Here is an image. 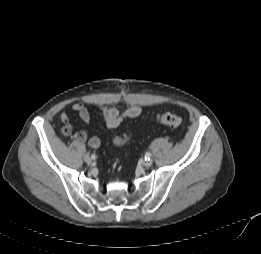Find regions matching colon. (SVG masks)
I'll use <instances>...</instances> for the list:
<instances>
[{"instance_id": "colon-1", "label": "colon", "mask_w": 261, "mask_h": 254, "mask_svg": "<svg viewBox=\"0 0 261 254\" xmlns=\"http://www.w3.org/2000/svg\"><path fill=\"white\" fill-rule=\"evenodd\" d=\"M155 122H157L158 124H162L164 126L171 127V128H177L181 125L182 119L177 114L166 112V113L157 115L155 117ZM129 139H130V137L127 134H125V135L115 138L114 144L116 146H122L125 143H127L129 141Z\"/></svg>"}]
</instances>
